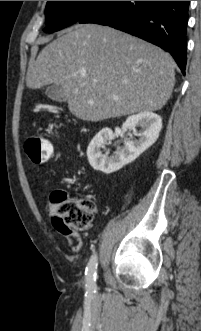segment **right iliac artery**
Here are the masks:
<instances>
[{"instance_id":"obj_1","label":"right iliac artery","mask_w":201,"mask_h":331,"mask_svg":"<svg viewBox=\"0 0 201 331\" xmlns=\"http://www.w3.org/2000/svg\"><path fill=\"white\" fill-rule=\"evenodd\" d=\"M96 269H97V255L95 252H93L85 272L87 288L93 292L96 291Z\"/></svg>"}]
</instances>
